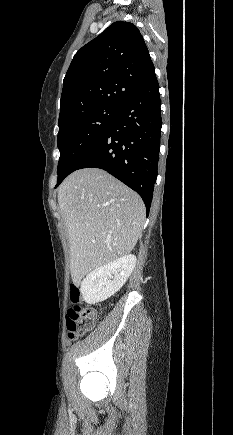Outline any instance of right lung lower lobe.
I'll return each mask as SVG.
<instances>
[{
    "label": "right lung lower lobe",
    "mask_w": 233,
    "mask_h": 435,
    "mask_svg": "<svg viewBox=\"0 0 233 435\" xmlns=\"http://www.w3.org/2000/svg\"><path fill=\"white\" fill-rule=\"evenodd\" d=\"M161 102L156 76L132 94L104 134L69 169L100 168L125 183L150 210L157 178L161 134Z\"/></svg>",
    "instance_id": "98d812e1"
}]
</instances>
